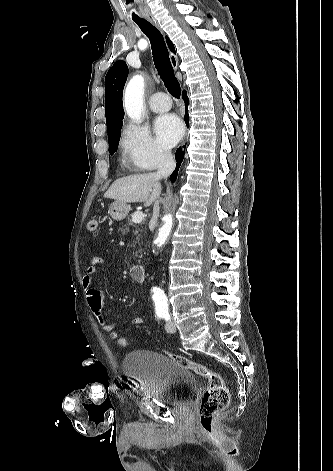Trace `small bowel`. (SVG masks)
Instances as JSON below:
<instances>
[{"label": "small bowel", "instance_id": "1", "mask_svg": "<svg viewBox=\"0 0 333 471\" xmlns=\"http://www.w3.org/2000/svg\"><path fill=\"white\" fill-rule=\"evenodd\" d=\"M103 263V258L94 255L90 258L88 265L86 266L85 273L82 277V286L85 291L87 304L92 313L97 317L100 328L102 331L110 333L113 340L119 335L117 326L106 321L103 316V294L102 292L93 285V278L96 273V269ZM134 325H141L143 319L140 316L132 318Z\"/></svg>", "mask_w": 333, "mask_h": 471}]
</instances>
